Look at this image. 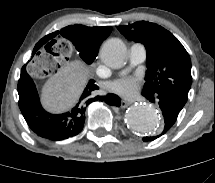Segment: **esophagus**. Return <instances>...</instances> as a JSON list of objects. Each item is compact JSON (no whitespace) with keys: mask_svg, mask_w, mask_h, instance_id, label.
Returning <instances> with one entry per match:
<instances>
[{"mask_svg":"<svg viewBox=\"0 0 215 183\" xmlns=\"http://www.w3.org/2000/svg\"><path fill=\"white\" fill-rule=\"evenodd\" d=\"M133 103V101H130V100H122V102H121V107L122 108H125V107H127L128 105H131Z\"/></svg>","mask_w":215,"mask_h":183,"instance_id":"34e87169","label":"esophagus"}]
</instances>
